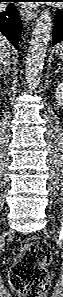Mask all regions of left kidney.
Wrapping results in <instances>:
<instances>
[{
	"instance_id": "5707ae66",
	"label": "left kidney",
	"mask_w": 63,
	"mask_h": 297,
	"mask_svg": "<svg viewBox=\"0 0 63 297\" xmlns=\"http://www.w3.org/2000/svg\"><path fill=\"white\" fill-rule=\"evenodd\" d=\"M55 98L59 105L63 104V84L62 83L58 84L56 88Z\"/></svg>"
}]
</instances>
